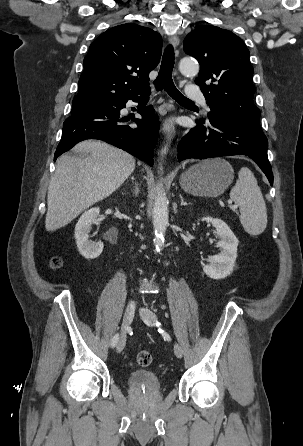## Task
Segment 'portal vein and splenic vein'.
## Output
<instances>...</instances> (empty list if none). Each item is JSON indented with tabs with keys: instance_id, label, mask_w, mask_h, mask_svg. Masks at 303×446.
I'll use <instances>...</instances> for the list:
<instances>
[{
	"instance_id": "portal-vein-and-splenic-vein-1",
	"label": "portal vein and splenic vein",
	"mask_w": 303,
	"mask_h": 446,
	"mask_svg": "<svg viewBox=\"0 0 303 446\" xmlns=\"http://www.w3.org/2000/svg\"><path fill=\"white\" fill-rule=\"evenodd\" d=\"M231 208L236 210L237 209V205H232Z\"/></svg>"
}]
</instances>
